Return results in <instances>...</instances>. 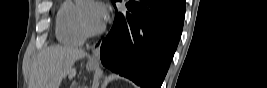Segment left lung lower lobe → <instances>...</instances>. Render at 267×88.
Masks as SVG:
<instances>
[{
    "label": "left lung lower lobe",
    "mask_w": 267,
    "mask_h": 88,
    "mask_svg": "<svg viewBox=\"0 0 267 88\" xmlns=\"http://www.w3.org/2000/svg\"><path fill=\"white\" fill-rule=\"evenodd\" d=\"M100 48L102 64L142 88H160L181 37L183 0H132Z\"/></svg>",
    "instance_id": "obj_1"
}]
</instances>
